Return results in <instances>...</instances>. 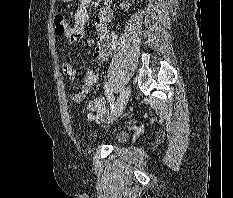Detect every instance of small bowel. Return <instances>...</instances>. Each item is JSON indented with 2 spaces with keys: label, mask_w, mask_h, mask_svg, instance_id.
I'll list each match as a JSON object with an SVG mask.
<instances>
[{
  "label": "small bowel",
  "mask_w": 233,
  "mask_h": 198,
  "mask_svg": "<svg viewBox=\"0 0 233 198\" xmlns=\"http://www.w3.org/2000/svg\"><path fill=\"white\" fill-rule=\"evenodd\" d=\"M92 0H80V5L74 14V23L67 27L63 36L70 43H76L82 40L85 36L86 23L89 20L88 7ZM113 12L109 6H104L96 14L94 22L97 31V45L94 51V56L100 61H106L112 49V40L108 31V25L112 20ZM62 71L69 79H75L77 76L76 69L68 61L62 64ZM99 75L94 70H88L85 73L84 81L81 89L78 92L70 95V100L74 104H80L86 98L91 88L98 82Z\"/></svg>",
  "instance_id": "1"
}]
</instances>
